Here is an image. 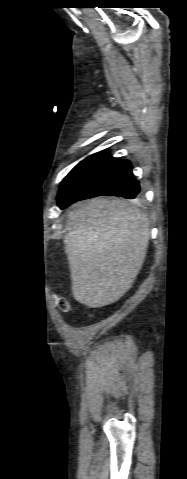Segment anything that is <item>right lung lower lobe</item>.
Wrapping results in <instances>:
<instances>
[{"mask_svg":"<svg viewBox=\"0 0 187 479\" xmlns=\"http://www.w3.org/2000/svg\"><path fill=\"white\" fill-rule=\"evenodd\" d=\"M140 192L139 182L128 160L106 156L80 176L58 199L61 209L72 203L101 195L134 199Z\"/></svg>","mask_w":187,"mask_h":479,"instance_id":"98d812e1","label":"right lung lower lobe"}]
</instances>
